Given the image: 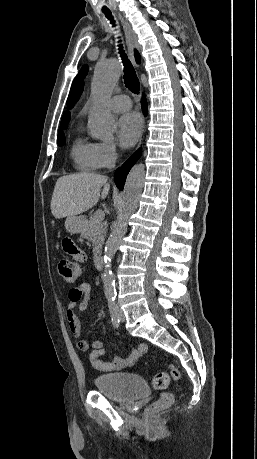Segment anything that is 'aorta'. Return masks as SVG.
<instances>
[{"mask_svg":"<svg viewBox=\"0 0 257 459\" xmlns=\"http://www.w3.org/2000/svg\"><path fill=\"white\" fill-rule=\"evenodd\" d=\"M121 67L116 60H105L97 64L91 84L95 104L88 116L90 134L99 140L110 142L114 137L115 119L106 110L104 104L111 97L120 78ZM145 167L142 164L130 170L123 191L122 202L116 221L104 249V293L107 298L116 294L115 276L111 270V261L127 232L128 221L138 206L144 185Z\"/></svg>","mask_w":257,"mask_h":459,"instance_id":"1","label":"aorta"}]
</instances>
